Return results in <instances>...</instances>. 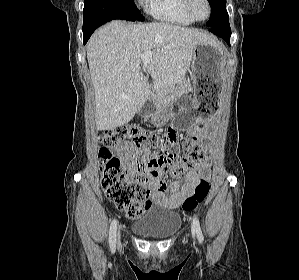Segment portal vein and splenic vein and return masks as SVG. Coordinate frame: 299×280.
Masks as SVG:
<instances>
[{"label": "portal vein and splenic vein", "mask_w": 299, "mask_h": 280, "mask_svg": "<svg viewBox=\"0 0 299 280\" xmlns=\"http://www.w3.org/2000/svg\"><path fill=\"white\" fill-rule=\"evenodd\" d=\"M141 58L144 62H148L150 61V59L152 58V52L148 51V52H145L141 55ZM166 92V91H165Z\"/></svg>", "instance_id": "obj_1"}]
</instances>
